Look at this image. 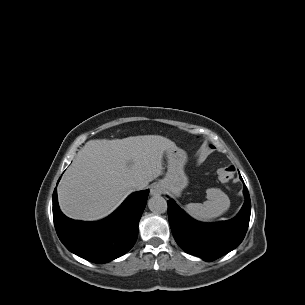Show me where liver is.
Wrapping results in <instances>:
<instances>
[{"instance_id": "1", "label": "liver", "mask_w": 305, "mask_h": 305, "mask_svg": "<svg viewBox=\"0 0 305 305\" xmlns=\"http://www.w3.org/2000/svg\"><path fill=\"white\" fill-rule=\"evenodd\" d=\"M177 146L159 135L90 140L78 151L58 185V203L69 218L97 221L133 192L162 174L163 154Z\"/></svg>"}]
</instances>
